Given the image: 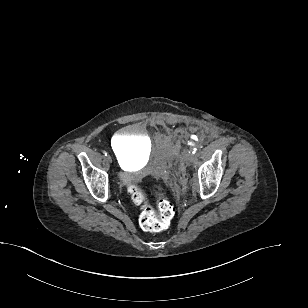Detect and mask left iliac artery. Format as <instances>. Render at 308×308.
<instances>
[{
    "label": "left iliac artery",
    "instance_id": "left-iliac-artery-1",
    "mask_svg": "<svg viewBox=\"0 0 308 308\" xmlns=\"http://www.w3.org/2000/svg\"><path fill=\"white\" fill-rule=\"evenodd\" d=\"M196 150H197L196 148H193V149H192V153L195 154V153H196Z\"/></svg>",
    "mask_w": 308,
    "mask_h": 308
}]
</instances>
